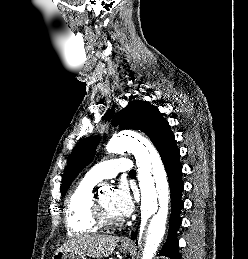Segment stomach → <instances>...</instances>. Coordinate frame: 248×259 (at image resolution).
<instances>
[{
  "instance_id": "stomach-1",
  "label": "stomach",
  "mask_w": 248,
  "mask_h": 259,
  "mask_svg": "<svg viewBox=\"0 0 248 259\" xmlns=\"http://www.w3.org/2000/svg\"><path fill=\"white\" fill-rule=\"evenodd\" d=\"M132 249L131 246H121L123 252H130ZM52 259H87L86 256L77 254L73 251H59L54 254Z\"/></svg>"
}]
</instances>
